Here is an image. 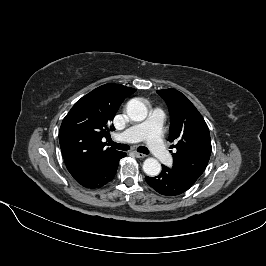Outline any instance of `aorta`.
<instances>
[{"mask_svg":"<svg viewBox=\"0 0 266 266\" xmlns=\"http://www.w3.org/2000/svg\"><path fill=\"white\" fill-rule=\"evenodd\" d=\"M129 118L141 122L147 117V107L139 99H131L126 106ZM143 170L148 176H157L161 172V164L155 158H147L143 163Z\"/></svg>","mask_w":266,"mask_h":266,"instance_id":"aorta-1","label":"aorta"}]
</instances>
